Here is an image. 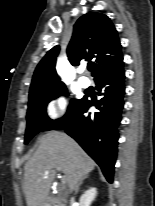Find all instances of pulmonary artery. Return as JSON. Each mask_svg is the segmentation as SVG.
<instances>
[{
	"mask_svg": "<svg viewBox=\"0 0 155 206\" xmlns=\"http://www.w3.org/2000/svg\"><path fill=\"white\" fill-rule=\"evenodd\" d=\"M78 83L81 87L83 88H87L89 87L90 85V80L86 77V76H81L79 79H78Z\"/></svg>",
	"mask_w": 155,
	"mask_h": 206,
	"instance_id": "e3ab8cb5",
	"label": "pulmonary artery"
}]
</instances>
